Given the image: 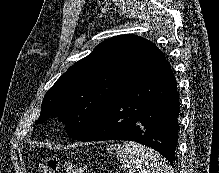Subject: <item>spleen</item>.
I'll list each match as a JSON object with an SVG mask.
<instances>
[{"instance_id": "obj_1", "label": "spleen", "mask_w": 219, "mask_h": 173, "mask_svg": "<svg viewBox=\"0 0 219 173\" xmlns=\"http://www.w3.org/2000/svg\"><path fill=\"white\" fill-rule=\"evenodd\" d=\"M128 173H174L167 161L154 150L132 141L107 147Z\"/></svg>"}]
</instances>
